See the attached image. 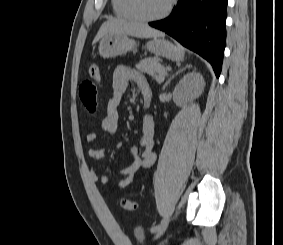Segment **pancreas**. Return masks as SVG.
Wrapping results in <instances>:
<instances>
[{"label":"pancreas","mask_w":283,"mask_h":245,"mask_svg":"<svg viewBox=\"0 0 283 245\" xmlns=\"http://www.w3.org/2000/svg\"><path fill=\"white\" fill-rule=\"evenodd\" d=\"M136 69L142 73H147L153 76L158 83L162 82L165 76V68L160 64L158 58L142 59L137 65Z\"/></svg>","instance_id":"pancreas-1"}]
</instances>
